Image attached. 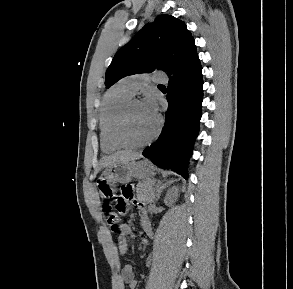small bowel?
Returning <instances> with one entry per match:
<instances>
[{"mask_svg": "<svg viewBox=\"0 0 293 289\" xmlns=\"http://www.w3.org/2000/svg\"><path fill=\"white\" fill-rule=\"evenodd\" d=\"M140 222L148 236L153 235L152 227L150 224V220L148 214L144 208H142L139 212ZM135 237L134 231L129 223H123L120 227V232L118 235V249L121 255H125L128 249V240L133 239ZM121 282L126 284L131 289H135L137 287V280L134 275L133 266L131 264H126L121 270L120 275Z\"/></svg>", "mask_w": 293, "mask_h": 289, "instance_id": "1", "label": "small bowel"}]
</instances>
